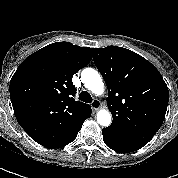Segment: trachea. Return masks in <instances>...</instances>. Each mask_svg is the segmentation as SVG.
I'll use <instances>...</instances> for the list:
<instances>
[{
  "label": "trachea",
  "instance_id": "obj_1",
  "mask_svg": "<svg viewBox=\"0 0 178 178\" xmlns=\"http://www.w3.org/2000/svg\"><path fill=\"white\" fill-rule=\"evenodd\" d=\"M79 100L85 102V103H91L92 102V97L91 95L86 92V91H82L79 95Z\"/></svg>",
  "mask_w": 178,
  "mask_h": 178
}]
</instances>
